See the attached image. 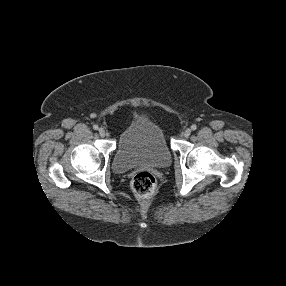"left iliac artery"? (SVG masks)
Masks as SVG:
<instances>
[{"label":"left iliac artery","instance_id":"44dca946","mask_svg":"<svg viewBox=\"0 0 286 286\" xmlns=\"http://www.w3.org/2000/svg\"><path fill=\"white\" fill-rule=\"evenodd\" d=\"M191 129L194 131V130L197 129V126H196L195 124H193V125L191 126Z\"/></svg>","mask_w":286,"mask_h":286}]
</instances>
